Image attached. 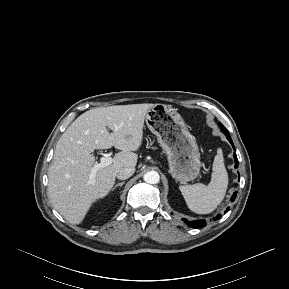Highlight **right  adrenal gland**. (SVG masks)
I'll use <instances>...</instances> for the list:
<instances>
[{
  "label": "right adrenal gland",
  "instance_id": "obj_1",
  "mask_svg": "<svg viewBox=\"0 0 289 289\" xmlns=\"http://www.w3.org/2000/svg\"><path fill=\"white\" fill-rule=\"evenodd\" d=\"M125 184V182H120V183H117L113 188H112V191L115 190L118 186H123Z\"/></svg>",
  "mask_w": 289,
  "mask_h": 289
}]
</instances>
